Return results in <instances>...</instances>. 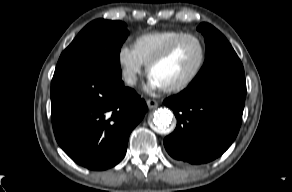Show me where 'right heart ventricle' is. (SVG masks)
I'll return each instance as SVG.
<instances>
[{
	"label": "right heart ventricle",
	"mask_w": 292,
	"mask_h": 192,
	"mask_svg": "<svg viewBox=\"0 0 292 192\" xmlns=\"http://www.w3.org/2000/svg\"><path fill=\"white\" fill-rule=\"evenodd\" d=\"M185 32L175 29H164L143 33L134 40V49L141 61L146 65L155 55L160 53L171 41Z\"/></svg>",
	"instance_id": "obj_1"
}]
</instances>
